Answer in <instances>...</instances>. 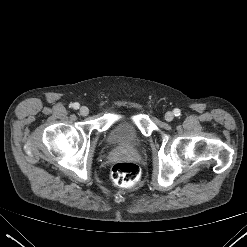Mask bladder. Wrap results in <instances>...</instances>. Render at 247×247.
<instances>
[{"mask_svg": "<svg viewBox=\"0 0 247 247\" xmlns=\"http://www.w3.org/2000/svg\"><path fill=\"white\" fill-rule=\"evenodd\" d=\"M107 142L117 147L136 148L142 145L143 140L128 121H121L110 129Z\"/></svg>", "mask_w": 247, "mask_h": 247, "instance_id": "1", "label": "bladder"}]
</instances>
